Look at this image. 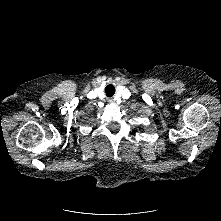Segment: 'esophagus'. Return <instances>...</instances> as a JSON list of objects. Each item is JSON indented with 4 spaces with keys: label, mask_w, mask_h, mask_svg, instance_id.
I'll return each instance as SVG.
<instances>
[{
    "label": "esophagus",
    "mask_w": 221,
    "mask_h": 221,
    "mask_svg": "<svg viewBox=\"0 0 221 221\" xmlns=\"http://www.w3.org/2000/svg\"><path fill=\"white\" fill-rule=\"evenodd\" d=\"M107 100L109 103H113V101H114L113 98H111V97H109Z\"/></svg>",
    "instance_id": "34e87169"
}]
</instances>
